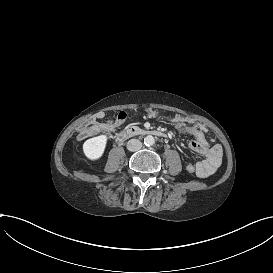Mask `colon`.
I'll return each mask as SVG.
<instances>
[{
	"label": "colon",
	"mask_w": 273,
	"mask_h": 273,
	"mask_svg": "<svg viewBox=\"0 0 273 273\" xmlns=\"http://www.w3.org/2000/svg\"><path fill=\"white\" fill-rule=\"evenodd\" d=\"M96 123V120L94 119V118H90L88 121H87V124L89 125V126H92V125H94ZM80 130L82 131V132H85L86 130H87V127L85 126V125H82L81 127H80Z\"/></svg>",
	"instance_id": "5ec220e1"
}]
</instances>
